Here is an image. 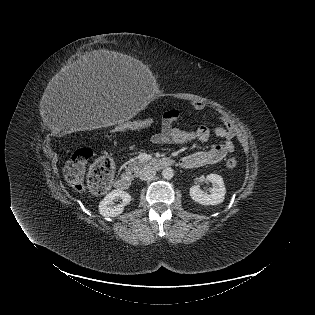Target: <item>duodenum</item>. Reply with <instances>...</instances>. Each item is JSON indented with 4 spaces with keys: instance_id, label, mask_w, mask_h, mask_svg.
<instances>
[{
    "instance_id": "duodenum-1",
    "label": "duodenum",
    "mask_w": 315,
    "mask_h": 315,
    "mask_svg": "<svg viewBox=\"0 0 315 315\" xmlns=\"http://www.w3.org/2000/svg\"><path fill=\"white\" fill-rule=\"evenodd\" d=\"M174 161L170 158H161L156 160L155 164L160 168H166L173 165ZM133 180V173H125L115 181V187L120 190L129 188Z\"/></svg>"
}]
</instances>
